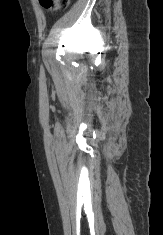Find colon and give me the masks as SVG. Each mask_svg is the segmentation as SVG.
Instances as JSON below:
<instances>
[{"instance_id":"1","label":"colon","mask_w":163,"mask_h":235,"mask_svg":"<svg viewBox=\"0 0 163 235\" xmlns=\"http://www.w3.org/2000/svg\"><path fill=\"white\" fill-rule=\"evenodd\" d=\"M70 0H39V3L47 10H60L69 5Z\"/></svg>"}]
</instances>
